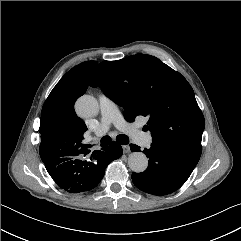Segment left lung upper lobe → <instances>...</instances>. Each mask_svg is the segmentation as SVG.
Returning <instances> with one entry per match:
<instances>
[{
    "instance_id": "1",
    "label": "left lung upper lobe",
    "mask_w": 241,
    "mask_h": 241,
    "mask_svg": "<svg viewBox=\"0 0 241 241\" xmlns=\"http://www.w3.org/2000/svg\"><path fill=\"white\" fill-rule=\"evenodd\" d=\"M92 87L123 107L128 121L149 118L145 130L152 142L172 146L200 157L204 116L194 91L178 72L147 54L103 61L90 80Z\"/></svg>"
}]
</instances>
